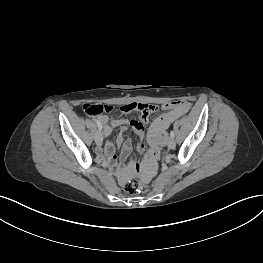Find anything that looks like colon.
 I'll return each instance as SVG.
<instances>
[{
  "label": "colon",
  "mask_w": 263,
  "mask_h": 263,
  "mask_svg": "<svg viewBox=\"0 0 263 263\" xmlns=\"http://www.w3.org/2000/svg\"><path fill=\"white\" fill-rule=\"evenodd\" d=\"M171 103H174L177 106V109L182 113L187 112L189 109V103L186 101L180 100ZM111 109H112L111 106L103 105V104H86L83 107L85 114L88 116L100 115L102 113L109 112ZM117 110L123 115L132 117L135 113L137 115L154 114L157 111V108L151 102L138 103L134 101L131 102L127 101L126 103H121L117 107ZM122 188L126 193L133 194L136 193L139 190V188L141 189L148 188V183L138 182L136 180H130L124 183Z\"/></svg>",
  "instance_id": "5ec220e1"
}]
</instances>
